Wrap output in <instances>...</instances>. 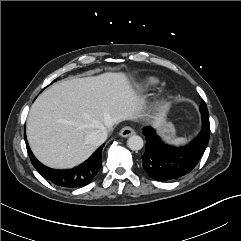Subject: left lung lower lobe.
<instances>
[{"label":"left lung lower lobe","mask_w":241,"mask_h":241,"mask_svg":"<svg viewBox=\"0 0 241 241\" xmlns=\"http://www.w3.org/2000/svg\"><path fill=\"white\" fill-rule=\"evenodd\" d=\"M200 135L189 145L173 147L163 143L151 127H145V153L142 166L147 174L158 181L178 179L191 172L204 153L210 136L209 116L202 119Z\"/></svg>","instance_id":"1"}]
</instances>
